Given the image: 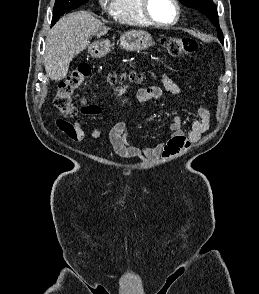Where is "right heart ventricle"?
Segmentation results:
<instances>
[{
    "mask_svg": "<svg viewBox=\"0 0 259 294\" xmlns=\"http://www.w3.org/2000/svg\"><path fill=\"white\" fill-rule=\"evenodd\" d=\"M110 12L112 17L122 24L151 25L141 13V0H112Z\"/></svg>",
    "mask_w": 259,
    "mask_h": 294,
    "instance_id": "right-heart-ventricle-1",
    "label": "right heart ventricle"
}]
</instances>
